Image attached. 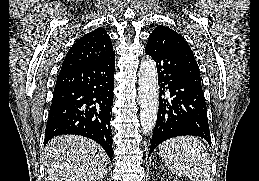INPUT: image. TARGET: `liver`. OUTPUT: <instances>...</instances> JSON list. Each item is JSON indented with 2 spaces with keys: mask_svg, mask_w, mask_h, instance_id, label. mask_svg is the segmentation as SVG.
Returning a JSON list of instances; mask_svg holds the SVG:
<instances>
[{
  "mask_svg": "<svg viewBox=\"0 0 259 181\" xmlns=\"http://www.w3.org/2000/svg\"><path fill=\"white\" fill-rule=\"evenodd\" d=\"M46 181H102L108 156L96 142L76 135L54 137L43 156Z\"/></svg>",
  "mask_w": 259,
  "mask_h": 181,
  "instance_id": "1",
  "label": "liver"
}]
</instances>
